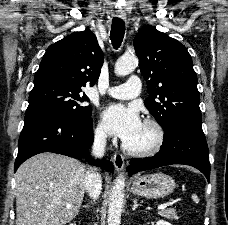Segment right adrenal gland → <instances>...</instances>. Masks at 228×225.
I'll return each instance as SVG.
<instances>
[{
    "mask_svg": "<svg viewBox=\"0 0 228 225\" xmlns=\"http://www.w3.org/2000/svg\"><path fill=\"white\" fill-rule=\"evenodd\" d=\"M84 209H89V205H83Z\"/></svg>",
    "mask_w": 228,
    "mask_h": 225,
    "instance_id": "2a0ac1e0",
    "label": "right adrenal gland"
}]
</instances>
